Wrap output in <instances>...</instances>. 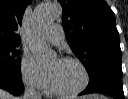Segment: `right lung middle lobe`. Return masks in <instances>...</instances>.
<instances>
[{
  "mask_svg": "<svg viewBox=\"0 0 128 99\" xmlns=\"http://www.w3.org/2000/svg\"><path fill=\"white\" fill-rule=\"evenodd\" d=\"M0 75L21 79V59L16 45L0 44Z\"/></svg>",
  "mask_w": 128,
  "mask_h": 99,
  "instance_id": "1",
  "label": "right lung middle lobe"
}]
</instances>
